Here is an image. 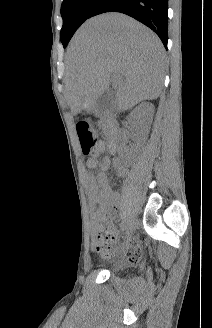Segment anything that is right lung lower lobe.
Wrapping results in <instances>:
<instances>
[{"label": "right lung lower lobe", "mask_w": 212, "mask_h": 328, "mask_svg": "<svg viewBox=\"0 0 212 328\" xmlns=\"http://www.w3.org/2000/svg\"><path fill=\"white\" fill-rule=\"evenodd\" d=\"M112 11L127 14L151 28L167 48L168 0H99L89 18Z\"/></svg>", "instance_id": "98d812e1"}]
</instances>
